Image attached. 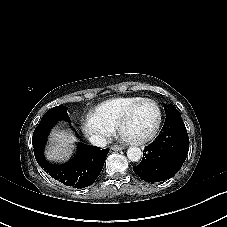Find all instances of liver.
<instances>
[{
  "mask_svg": "<svg viewBox=\"0 0 227 227\" xmlns=\"http://www.w3.org/2000/svg\"><path fill=\"white\" fill-rule=\"evenodd\" d=\"M77 138L68 129L54 128L50 132L45 157L51 162H66L73 154Z\"/></svg>",
  "mask_w": 227,
  "mask_h": 227,
  "instance_id": "6515ba94",
  "label": "liver"
}]
</instances>
